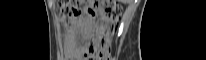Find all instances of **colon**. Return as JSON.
Masks as SVG:
<instances>
[{"mask_svg":"<svg viewBox=\"0 0 206 60\" xmlns=\"http://www.w3.org/2000/svg\"><path fill=\"white\" fill-rule=\"evenodd\" d=\"M59 9L61 22L70 26L81 15L83 3L75 0L60 1ZM96 11L100 14V20L94 37L85 46L84 55L89 60H110L111 42L121 10L115 1L102 0L88 10L91 15Z\"/></svg>","mask_w":206,"mask_h":60,"instance_id":"5ec220e1","label":"colon"}]
</instances>
